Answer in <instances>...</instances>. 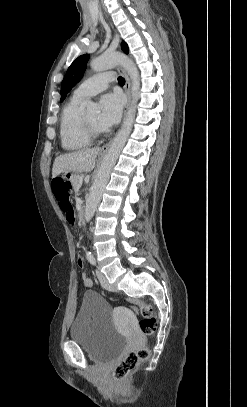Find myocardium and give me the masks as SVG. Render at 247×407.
<instances>
[{"label": "myocardium", "instance_id": "obj_1", "mask_svg": "<svg viewBox=\"0 0 247 407\" xmlns=\"http://www.w3.org/2000/svg\"><path fill=\"white\" fill-rule=\"evenodd\" d=\"M81 124H82V128H83L85 134L91 139L98 138V137L102 136L103 134H105V132H106V130L104 128H98V127L94 126L87 119L85 113H82V115H81Z\"/></svg>", "mask_w": 247, "mask_h": 407}]
</instances>
